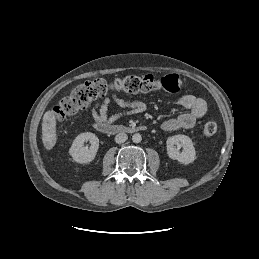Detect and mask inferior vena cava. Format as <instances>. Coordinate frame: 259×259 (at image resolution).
I'll use <instances>...</instances> for the list:
<instances>
[{
  "instance_id": "1",
  "label": "inferior vena cava",
  "mask_w": 259,
  "mask_h": 259,
  "mask_svg": "<svg viewBox=\"0 0 259 259\" xmlns=\"http://www.w3.org/2000/svg\"><path fill=\"white\" fill-rule=\"evenodd\" d=\"M127 139H128V136L125 133H118L115 136V142L118 144L124 143Z\"/></svg>"
}]
</instances>
